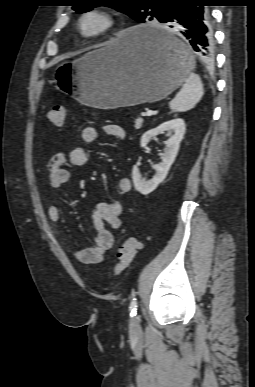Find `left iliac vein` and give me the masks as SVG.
I'll return each mask as SVG.
<instances>
[{
    "instance_id": "4c4485c4",
    "label": "left iliac vein",
    "mask_w": 255,
    "mask_h": 387,
    "mask_svg": "<svg viewBox=\"0 0 255 387\" xmlns=\"http://www.w3.org/2000/svg\"><path fill=\"white\" fill-rule=\"evenodd\" d=\"M130 328L132 331H137L140 328L138 317H133L131 319Z\"/></svg>"
}]
</instances>
